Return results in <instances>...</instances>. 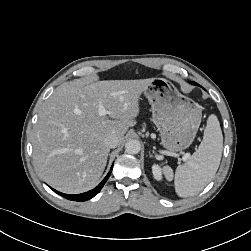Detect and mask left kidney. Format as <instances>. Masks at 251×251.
Instances as JSON below:
<instances>
[{"instance_id":"5707ae66","label":"left kidney","mask_w":251,"mask_h":251,"mask_svg":"<svg viewBox=\"0 0 251 251\" xmlns=\"http://www.w3.org/2000/svg\"><path fill=\"white\" fill-rule=\"evenodd\" d=\"M152 173H153V176L156 180H158V181L162 180V169L160 168L159 165L154 164L152 166Z\"/></svg>"}]
</instances>
